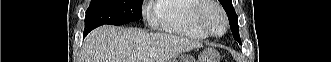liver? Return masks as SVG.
I'll use <instances>...</instances> for the list:
<instances>
[{"label":"liver","instance_id":"6515ba94","mask_svg":"<svg viewBox=\"0 0 331 62\" xmlns=\"http://www.w3.org/2000/svg\"><path fill=\"white\" fill-rule=\"evenodd\" d=\"M200 46L194 40L172 34L101 26L87 36L83 53L84 62H169Z\"/></svg>","mask_w":331,"mask_h":62}]
</instances>
